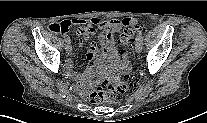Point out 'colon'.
Wrapping results in <instances>:
<instances>
[{
    "label": "colon",
    "mask_w": 207,
    "mask_h": 123,
    "mask_svg": "<svg viewBox=\"0 0 207 123\" xmlns=\"http://www.w3.org/2000/svg\"><path fill=\"white\" fill-rule=\"evenodd\" d=\"M142 26V24L135 23L124 29L119 38V48L123 53L129 51L136 31L141 29ZM49 29L54 32H59V24L53 23L49 25ZM134 88L135 85L129 76L115 74L107 78L103 85L91 94L90 98L95 104L117 103L121 100L122 94L132 91Z\"/></svg>",
    "instance_id": "1"
}]
</instances>
